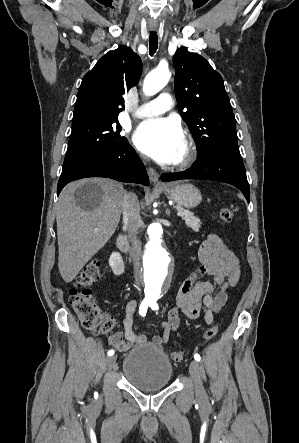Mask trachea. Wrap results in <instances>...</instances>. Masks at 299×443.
<instances>
[{"label": "trachea", "mask_w": 299, "mask_h": 443, "mask_svg": "<svg viewBox=\"0 0 299 443\" xmlns=\"http://www.w3.org/2000/svg\"><path fill=\"white\" fill-rule=\"evenodd\" d=\"M158 48V35L155 31L150 32L149 36V52L153 56Z\"/></svg>", "instance_id": "1"}]
</instances>
